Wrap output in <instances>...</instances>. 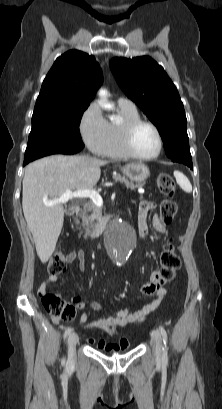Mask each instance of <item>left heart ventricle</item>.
<instances>
[{
	"instance_id": "left-heart-ventricle-1",
	"label": "left heart ventricle",
	"mask_w": 222,
	"mask_h": 409,
	"mask_svg": "<svg viewBox=\"0 0 222 409\" xmlns=\"http://www.w3.org/2000/svg\"><path fill=\"white\" fill-rule=\"evenodd\" d=\"M132 145L139 155H152L158 149L157 134L150 126L142 125L134 132Z\"/></svg>"
}]
</instances>
